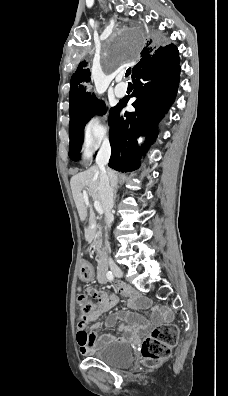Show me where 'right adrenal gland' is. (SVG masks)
Returning <instances> with one entry per match:
<instances>
[{"mask_svg":"<svg viewBox=\"0 0 228 396\" xmlns=\"http://www.w3.org/2000/svg\"><path fill=\"white\" fill-rule=\"evenodd\" d=\"M117 190H118V188L115 187V188H114V199H116V192H117Z\"/></svg>","mask_w":228,"mask_h":396,"instance_id":"1","label":"right adrenal gland"}]
</instances>
